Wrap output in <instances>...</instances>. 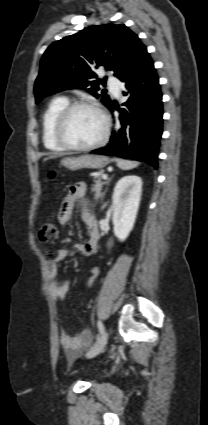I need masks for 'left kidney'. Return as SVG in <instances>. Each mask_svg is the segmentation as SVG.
<instances>
[{
    "label": "left kidney",
    "instance_id": "1",
    "mask_svg": "<svg viewBox=\"0 0 208 425\" xmlns=\"http://www.w3.org/2000/svg\"><path fill=\"white\" fill-rule=\"evenodd\" d=\"M142 193V180L139 176L128 175L121 178L114 187L112 196V221L114 235L124 241L134 227Z\"/></svg>",
    "mask_w": 208,
    "mask_h": 425
}]
</instances>
